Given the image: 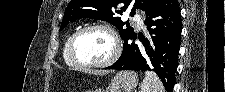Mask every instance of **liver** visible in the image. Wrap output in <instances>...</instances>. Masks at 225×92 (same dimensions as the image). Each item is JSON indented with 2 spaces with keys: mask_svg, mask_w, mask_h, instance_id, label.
I'll return each instance as SVG.
<instances>
[{
  "mask_svg": "<svg viewBox=\"0 0 225 92\" xmlns=\"http://www.w3.org/2000/svg\"><path fill=\"white\" fill-rule=\"evenodd\" d=\"M86 72L92 75H106L107 73H109V71H98V70H89Z\"/></svg>",
  "mask_w": 225,
  "mask_h": 92,
  "instance_id": "6515ba94",
  "label": "liver"
}]
</instances>
